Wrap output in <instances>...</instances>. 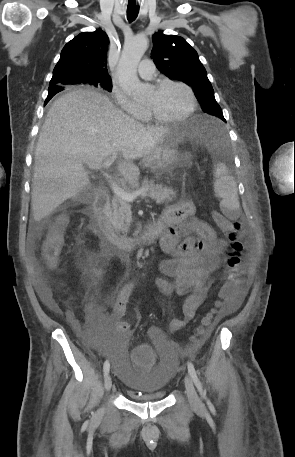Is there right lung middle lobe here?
I'll return each mask as SVG.
<instances>
[{"label": "right lung middle lobe", "instance_id": "obj_1", "mask_svg": "<svg viewBox=\"0 0 295 457\" xmlns=\"http://www.w3.org/2000/svg\"><path fill=\"white\" fill-rule=\"evenodd\" d=\"M90 85H94V86H100L108 91H111L112 90V81L111 80H108V81H92L89 83Z\"/></svg>", "mask_w": 295, "mask_h": 457}]
</instances>
